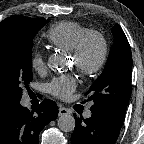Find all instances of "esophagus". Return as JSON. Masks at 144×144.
Listing matches in <instances>:
<instances>
[{
	"instance_id": "1",
	"label": "esophagus",
	"mask_w": 144,
	"mask_h": 144,
	"mask_svg": "<svg viewBox=\"0 0 144 144\" xmlns=\"http://www.w3.org/2000/svg\"><path fill=\"white\" fill-rule=\"evenodd\" d=\"M68 114H70V111L67 108H65L63 106L59 107V112H58L59 116H64V115H68Z\"/></svg>"
}]
</instances>
